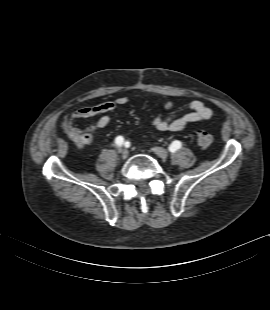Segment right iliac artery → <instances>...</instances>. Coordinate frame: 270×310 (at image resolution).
I'll list each match as a JSON object with an SVG mask.
<instances>
[{
  "instance_id": "obj_1",
  "label": "right iliac artery",
  "mask_w": 270,
  "mask_h": 310,
  "mask_svg": "<svg viewBox=\"0 0 270 310\" xmlns=\"http://www.w3.org/2000/svg\"><path fill=\"white\" fill-rule=\"evenodd\" d=\"M123 142H124V138L122 136L116 137L115 143L117 146H119V147L122 146Z\"/></svg>"
}]
</instances>
